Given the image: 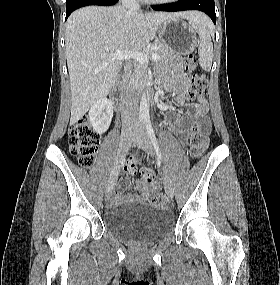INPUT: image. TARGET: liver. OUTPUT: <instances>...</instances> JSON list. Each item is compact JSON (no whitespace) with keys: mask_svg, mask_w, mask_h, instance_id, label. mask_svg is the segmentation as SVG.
Masks as SVG:
<instances>
[{"mask_svg":"<svg viewBox=\"0 0 280 285\" xmlns=\"http://www.w3.org/2000/svg\"><path fill=\"white\" fill-rule=\"evenodd\" d=\"M197 12L143 13L123 6H89L74 11L66 22L65 53L70 78L71 118L74 124L115 84L121 60H110L117 50L140 51L168 19L190 22Z\"/></svg>","mask_w":280,"mask_h":285,"instance_id":"1","label":"liver"}]
</instances>
